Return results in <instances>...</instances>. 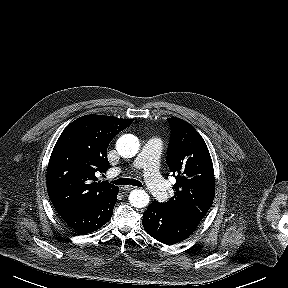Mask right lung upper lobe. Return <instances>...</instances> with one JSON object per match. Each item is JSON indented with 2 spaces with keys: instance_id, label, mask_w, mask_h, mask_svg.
<instances>
[{
  "instance_id": "cb5924a9",
  "label": "right lung upper lobe",
  "mask_w": 288,
  "mask_h": 288,
  "mask_svg": "<svg viewBox=\"0 0 288 288\" xmlns=\"http://www.w3.org/2000/svg\"><path fill=\"white\" fill-rule=\"evenodd\" d=\"M132 122L91 114L65 128L47 169L48 195L59 214L92 206L119 189L106 181L97 182L95 172H105L111 167L107 147Z\"/></svg>"
}]
</instances>
